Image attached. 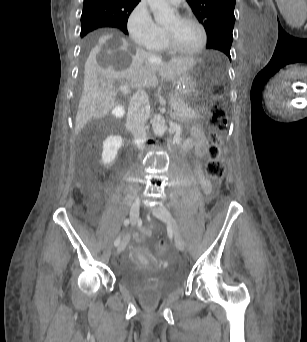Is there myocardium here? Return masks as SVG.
I'll use <instances>...</instances> for the list:
<instances>
[{"label":"myocardium","instance_id":"f54148a6","mask_svg":"<svg viewBox=\"0 0 307 342\" xmlns=\"http://www.w3.org/2000/svg\"><path fill=\"white\" fill-rule=\"evenodd\" d=\"M178 20L180 22H188V21L195 22L200 27L202 31V41L200 45L193 50H180L174 47L170 43L168 37L164 35L162 49L169 54L177 55V56H196L200 54L201 52H203L206 49L208 42H209V33H208L206 24L195 15H189V14L179 16Z\"/></svg>","mask_w":307,"mask_h":342}]
</instances>
